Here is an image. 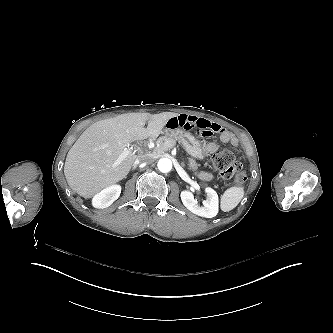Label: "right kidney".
<instances>
[{"label":"right kidney","mask_w":333,"mask_h":333,"mask_svg":"<svg viewBox=\"0 0 333 333\" xmlns=\"http://www.w3.org/2000/svg\"><path fill=\"white\" fill-rule=\"evenodd\" d=\"M121 193L120 185H111L92 198V206L95 208L109 207L115 200H117Z\"/></svg>","instance_id":"ca27d5eb"}]
</instances>
